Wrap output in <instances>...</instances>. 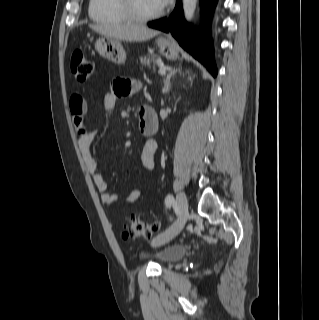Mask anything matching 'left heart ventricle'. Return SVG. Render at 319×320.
Wrapping results in <instances>:
<instances>
[{
  "label": "left heart ventricle",
  "instance_id": "obj_1",
  "mask_svg": "<svg viewBox=\"0 0 319 320\" xmlns=\"http://www.w3.org/2000/svg\"><path fill=\"white\" fill-rule=\"evenodd\" d=\"M134 6L142 15L152 14L160 10L155 0H134Z\"/></svg>",
  "mask_w": 319,
  "mask_h": 320
}]
</instances>
